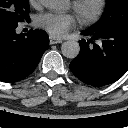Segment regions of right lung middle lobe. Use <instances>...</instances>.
Masks as SVG:
<instances>
[{
    "label": "right lung middle lobe",
    "mask_w": 128,
    "mask_h": 128,
    "mask_svg": "<svg viewBox=\"0 0 128 128\" xmlns=\"http://www.w3.org/2000/svg\"><path fill=\"white\" fill-rule=\"evenodd\" d=\"M28 0H0V27L16 28L19 22L29 21Z\"/></svg>",
    "instance_id": "obj_1"
}]
</instances>
